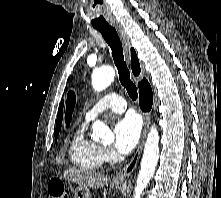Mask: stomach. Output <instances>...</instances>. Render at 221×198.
I'll list each match as a JSON object with an SVG mask.
<instances>
[{
	"instance_id": "0dacf381",
	"label": "stomach",
	"mask_w": 221,
	"mask_h": 198,
	"mask_svg": "<svg viewBox=\"0 0 221 198\" xmlns=\"http://www.w3.org/2000/svg\"><path fill=\"white\" fill-rule=\"evenodd\" d=\"M111 186L114 189H121L124 186V183H112ZM73 198H91L89 188H85L83 186H78L74 190V197Z\"/></svg>"
}]
</instances>
